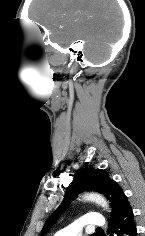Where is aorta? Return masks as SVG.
<instances>
[{
    "instance_id": "762f6f07",
    "label": "aorta",
    "mask_w": 145,
    "mask_h": 236,
    "mask_svg": "<svg viewBox=\"0 0 145 236\" xmlns=\"http://www.w3.org/2000/svg\"><path fill=\"white\" fill-rule=\"evenodd\" d=\"M82 199L84 201L94 202V203L100 205L101 207H103L104 209L109 208L107 200L100 194L86 193L82 196Z\"/></svg>"
}]
</instances>
